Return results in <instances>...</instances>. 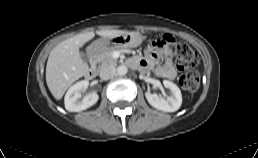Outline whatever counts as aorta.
I'll list each match as a JSON object with an SVG mask.
<instances>
[{"label":"aorta","mask_w":258,"mask_h":158,"mask_svg":"<svg viewBox=\"0 0 258 158\" xmlns=\"http://www.w3.org/2000/svg\"><path fill=\"white\" fill-rule=\"evenodd\" d=\"M127 71H128V69L125 65H121L117 68V74L121 75V76L125 75L127 73Z\"/></svg>","instance_id":"762f6f07"}]
</instances>
